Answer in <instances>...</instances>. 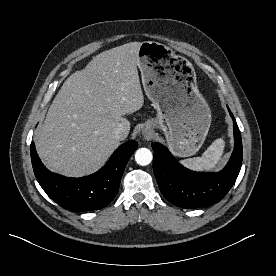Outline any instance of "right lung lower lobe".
<instances>
[{
    "instance_id": "98d812e1",
    "label": "right lung lower lobe",
    "mask_w": 276,
    "mask_h": 276,
    "mask_svg": "<svg viewBox=\"0 0 276 276\" xmlns=\"http://www.w3.org/2000/svg\"><path fill=\"white\" fill-rule=\"evenodd\" d=\"M137 148L136 141H127L113 153L103 168L82 178H68L47 170L33 142L30 153L36 179L46 194L64 209L81 212L102 209L113 200L125 166Z\"/></svg>"
}]
</instances>
